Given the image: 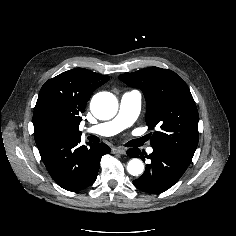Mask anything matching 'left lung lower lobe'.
Wrapping results in <instances>:
<instances>
[{"instance_id":"1","label":"left lung lower lobe","mask_w":236,"mask_h":236,"mask_svg":"<svg viewBox=\"0 0 236 236\" xmlns=\"http://www.w3.org/2000/svg\"><path fill=\"white\" fill-rule=\"evenodd\" d=\"M152 147L153 152L146 157L138 148L129 149L127 154L130 157H140L144 162L145 158L150 160L143 175L134 180L133 184L142 191L158 194L168 190L181 178L192 156L162 146Z\"/></svg>"}]
</instances>
